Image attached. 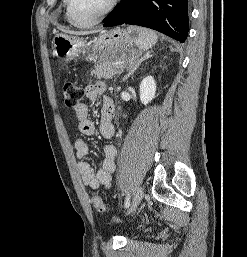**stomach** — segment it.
Returning <instances> with one entry per match:
<instances>
[{
    "label": "stomach",
    "instance_id": "obj_1",
    "mask_svg": "<svg viewBox=\"0 0 247 257\" xmlns=\"http://www.w3.org/2000/svg\"><path fill=\"white\" fill-rule=\"evenodd\" d=\"M136 34L125 29L115 28L102 32L92 43L84 39L56 33L52 44L56 56L65 61L72 60L82 52L93 60L115 63L119 67H131L141 53L134 48Z\"/></svg>",
    "mask_w": 247,
    "mask_h": 257
}]
</instances>
